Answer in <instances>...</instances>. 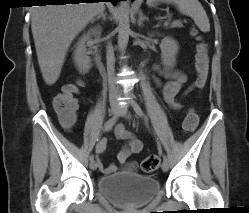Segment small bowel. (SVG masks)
Wrapping results in <instances>:
<instances>
[{
    "instance_id": "obj_1",
    "label": "small bowel",
    "mask_w": 249,
    "mask_h": 213,
    "mask_svg": "<svg viewBox=\"0 0 249 213\" xmlns=\"http://www.w3.org/2000/svg\"><path fill=\"white\" fill-rule=\"evenodd\" d=\"M156 70L162 75L166 81L161 83L158 78L155 79L156 83L160 86L161 94L165 103L173 110H179L182 106L177 101L176 97L181 90L182 85L186 82V75L178 70L175 71H161L158 67ZM62 124L66 128H70L73 124L67 123L62 120ZM115 137L125 142L124 147L117 154V159L120 163H125L128 158L133 154H138L142 151L143 144L141 140L136 138L129 132L123 124H118L114 129ZM107 140L102 139L96 144L95 152L97 154V163L100 170L109 174L115 171L116 167L113 164L104 165L101 160V155L105 152Z\"/></svg>"
}]
</instances>
